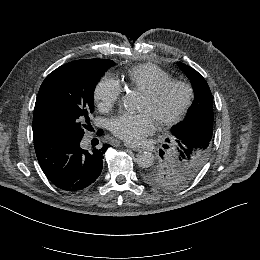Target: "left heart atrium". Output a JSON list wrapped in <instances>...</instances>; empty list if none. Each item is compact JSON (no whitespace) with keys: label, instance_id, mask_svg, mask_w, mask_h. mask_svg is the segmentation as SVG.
<instances>
[{"label":"left heart atrium","instance_id":"obj_1","mask_svg":"<svg viewBox=\"0 0 260 260\" xmlns=\"http://www.w3.org/2000/svg\"><path fill=\"white\" fill-rule=\"evenodd\" d=\"M155 123L147 110L139 113H122L111 122V131L117 137L131 143L151 134Z\"/></svg>","mask_w":260,"mask_h":260}]
</instances>
